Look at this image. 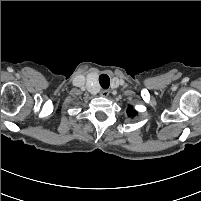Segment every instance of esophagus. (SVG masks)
Wrapping results in <instances>:
<instances>
[{
  "instance_id": "34e87169",
  "label": "esophagus",
  "mask_w": 201,
  "mask_h": 201,
  "mask_svg": "<svg viewBox=\"0 0 201 201\" xmlns=\"http://www.w3.org/2000/svg\"><path fill=\"white\" fill-rule=\"evenodd\" d=\"M100 95H101L102 97H107V96L109 95V91H108V90H102V91L100 92Z\"/></svg>"
}]
</instances>
